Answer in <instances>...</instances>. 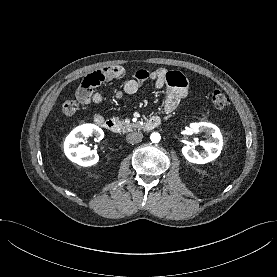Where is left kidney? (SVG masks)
<instances>
[{
	"instance_id": "obj_1",
	"label": "left kidney",
	"mask_w": 277,
	"mask_h": 277,
	"mask_svg": "<svg viewBox=\"0 0 277 277\" xmlns=\"http://www.w3.org/2000/svg\"><path fill=\"white\" fill-rule=\"evenodd\" d=\"M191 128L195 133H206L207 141L200 142L204 148L201 153L197 152L194 147L184 146L182 148L184 157L195 164H205L215 160L220 155L223 146L222 134L219 128L206 122L193 123Z\"/></svg>"
}]
</instances>
